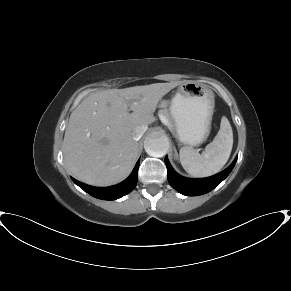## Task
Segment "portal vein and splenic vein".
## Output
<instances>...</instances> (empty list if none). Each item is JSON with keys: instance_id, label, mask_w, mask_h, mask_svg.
<instances>
[{"instance_id": "18ae733b", "label": "portal vein and splenic vein", "mask_w": 291, "mask_h": 291, "mask_svg": "<svg viewBox=\"0 0 291 291\" xmlns=\"http://www.w3.org/2000/svg\"><path fill=\"white\" fill-rule=\"evenodd\" d=\"M160 118H161V121H162L163 123H167V120L165 119V117L160 116Z\"/></svg>"}]
</instances>
